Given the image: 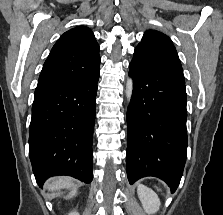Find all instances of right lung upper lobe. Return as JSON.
Wrapping results in <instances>:
<instances>
[{
	"mask_svg": "<svg viewBox=\"0 0 223 215\" xmlns=\"http://www.w3.org/2000/svg\"><path fill=\"white\" fill-rule=\"evenodd\" d=\"M99 45L93 32L75 27L62 34L43 65L35 94L51 91L82 79L99 70Z\"/></svg>",
	"mask_w": 223,
	"mask_h": 215,
	"instance_id": "1",
	"label": "right lung upper lobe"
}]
</instances>
